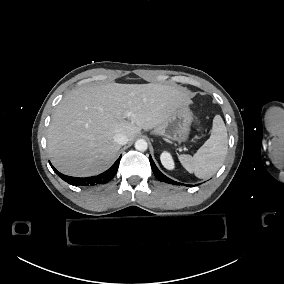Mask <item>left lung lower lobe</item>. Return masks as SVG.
I'll list each match as a JSON object with an SVG mask.
<instances>
[{"mask_svg": "<svg viewBox=\"0 0 284 284\" xmlns=\"http://www.w3.org/2000/svg\"><path fill=\"white\" fill-rule=\"evenodd\" d=\"M149 160H150V164H151V168L153 170V173H154V175L156 176V178L158 180H160L162 182H166V183L176 184V185L180 184L178 182H175V181L171 180L170 178L166 177L163 173H161L159 171V169L156 167V165H155L153 159L151 158V156L149 157Z\"/></svg>", "mask_w": 284, "mask_h": 284, "instance_id": "obj_1", "label": "left lung lower lobe"}]
</instances>
